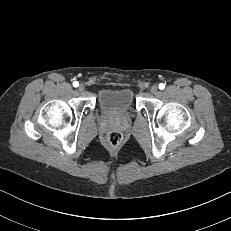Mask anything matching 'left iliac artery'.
<instances>
[{
    "mask_svg": "<svg viewBox=\"0 0 231 231\" xmlns=\"http://www.w3.org/2000/svg\"><path fill=\"white\" fill-rule=\"evenodd\" d=\"M165 88V85L163 83L159 84V89L163 90Z\"/></svg>",
    "mask_w": 231,
    "mask_h": 231,
    "instance_id": "1",
    "label": "left iliac artery"
}]
</instances>
